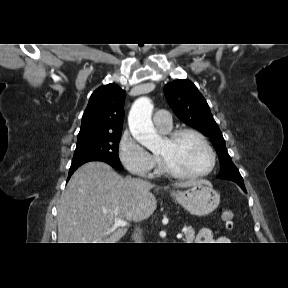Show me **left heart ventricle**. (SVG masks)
Listing matches in <instances>:
<instances>
[{
  "instance_id": "left-heart-ventricle-1",
  "label": "left heart ventricle",
  "mask_w": 288,
  "mask_h": 288,
  "mask_svg": "<svg viewBox=\"0 0 288 288\" xmlns=\"http://www.w3.org/2000/svg\"><path fill=\"white\" fill-rule=\"evenodd\" d=\"M156 153L173 167L187 174L203 172L210 165L207 149L192 135L182 136L173 143L165 138Z\"/></svg>"
}]
</instances>
